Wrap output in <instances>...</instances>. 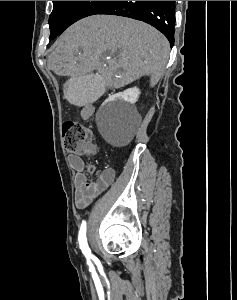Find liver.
<instances>
[{
    "label": "liver",
    "mask_w": 237,
    "mask_h": 300,
    "mask_svg": "<svg viewBox=\"0 0 237 300\" xmlns=\"http://www.w3.org/2000/svg\"><path fill=\"white\" fill-rule=\"evenodd\" d=\"M55 45L48 69L62 77L96 69L108 89H120L140 77H150V87H155L170 51L166 37L151 25L115 15L81 19Z\"/></svg>",
    "instance_id": "liver-1"
}]
</instances>
